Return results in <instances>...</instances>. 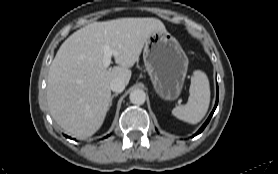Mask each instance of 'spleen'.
<instances>
[{"label": "spleen", "instance_id": "spleen-1", "mask_svg": "<svg viewBox=\"0 0 278 174\" xmlns=\"http://www.w3.org/2000/svg\"><path fill=\"white\" fill-rule=\"evenodd\" d=\"M189 93L187 104L176 106L172 114L180 120L196 124L203 119L210 103L209 80L204 72L197 70L193 73Z\"/></svg>", "mask_w": 278, "mask_h": 174}]
</instances>
